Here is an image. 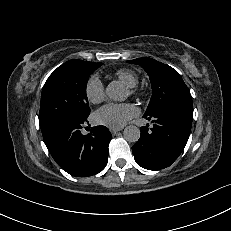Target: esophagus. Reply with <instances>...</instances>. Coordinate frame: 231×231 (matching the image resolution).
Returning <instances> with one entry per match:
<instances>
[{"label":"esophagus","mask_w":231,"mask_h":231,"mask_svg":"<svg viewBox=\"0 0 231 231\" xmlns=\"http://www.w3.org/2000/svg\"><path fill=\"white\" fill-rule=\"evenodd\" d=\"M122 130V128H118V129H110V132L113 134V135H115V134H117L119 131H121Z\"/></svg>","instance_id":"1"}]
</instances>
